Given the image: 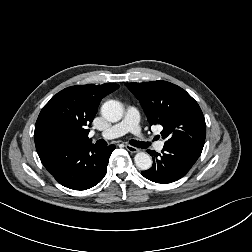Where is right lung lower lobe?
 I'll list each match as a JSON object with an SVG mask.
<instances>
[{"label": "right lung lower lobe", "mask_w": 252, "mask_h": 252, "mask_svg": "<svg viewBox=\"0 0 252 252\" xmlns=\"http://www.w3.org/2000/svg\"><path fill=\"white\" fill-rule=\"evenodd\" d=\"M114 149V145L102 148L92 143L66 142L46 150L39 157L60 184L74 190H86L103 179Z\"/></svg>", "instance_id": "right-lung-lower-lobe-1"}]
</instances>
